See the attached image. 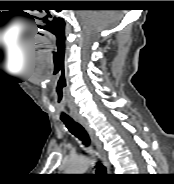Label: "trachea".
I'll list each match as a JSON object with an SVG mask.
<instances>
[{"mask_svg":"<svg viewBox=\"0 0 174 184\" xmlns=\"http://www.w3.org/2000/svg\"><path fill=\"white\" fill-rule=\"evenodd\" d=\"M62 121L64 122V124L66 125L68 130L73 135H75L77 138H79L85 146L90 145V138H89L87 132L84 130V128L80 124H78L77 122H75L71 118H63ZM96 168H97L96 172L98 174H105L106 173V169L101 163H97Z\"/></svg>","mask_w":174,"mask_h":184,"instance_id":"1","label":"trachea"}]
</instances>
